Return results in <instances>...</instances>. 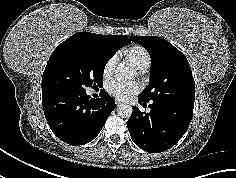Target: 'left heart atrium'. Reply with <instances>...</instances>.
I'll use <instances>...</instances> for the list:
<instances>
[{
    "instance_id": "obj_1",
    "label": "left heart atrium",
    "mask_w": 236,
    "mask_h": 178,
    "mask_svg": "<svg viewBox=\"0 0 236 178\" xmlns=\"http://www.w3.org/2000/svg\"><path fill=\"white\" fill-rule=\"evenodd\" d=\"M139 84L136 81H119L112 79L107 82L106 91L118 100H127L131 95L139 91Z\"/></svg>"
}]
</instances>
